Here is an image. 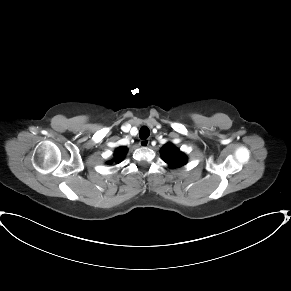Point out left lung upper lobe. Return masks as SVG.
Returning <instances> with one entry per match:
<instances>
[{
	"label": "left lung upper lobe",
	"instance_id": "obj_1",
	"mask_svg": "<svg viewBox=\"0 0 291 291\" xmlns=\"http://www.w3.org/2000/svg\"><path fill=\"white\" fill-rule=\"evenodd\" d=\"M162 159L169 165L170 168L181 167L186 164L187 157L180 152L173 144L167 143L161 148Z\"/></svg>",
	"mask_w": 291,
	"mask_h": 291
}]
</instances>
